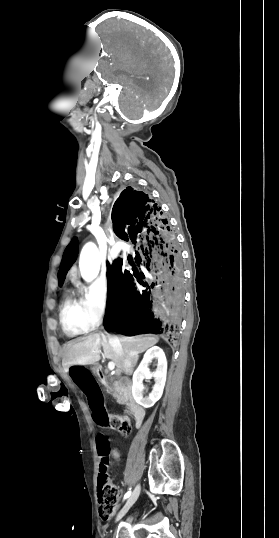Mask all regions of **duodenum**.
<instances>
[{
	"label": "duodenum",
	"instance_id": "410a0bca",
	"mask_svg": "<svg viewBox=\"0 0 279 538\" xmlns=\"http://www.w3.org/2000/svg\"><path fill=\"white\" fill-rule=\"evenodd\" d=\"M94 370H96V376L99 379L101 385H109L114 392H122L123 399H129L128 411L133 414H137V418L133 419L134 424L132 427L135 429H140L142 423L144 422L146 411L139 408V402L135 399V396L132 394V387L134 383L132 381H126L124 383L112 381V377L108 374V371L105 367L100 366L99 364L94 365Z\"/></svg>",
	"mask_w": 279,
	"mask_h": 538
}]
</instances>
